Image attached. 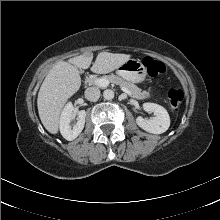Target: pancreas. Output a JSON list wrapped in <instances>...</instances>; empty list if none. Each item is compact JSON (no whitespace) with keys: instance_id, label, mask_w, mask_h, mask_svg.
<instances>
[{"instance_id":"obj_1","label":"pancreas","mask_w":220,"mask_h":220,"mask_svg":"<svg viewBox=\"0 0 220 220\" xmlns=\"http://www.w3.org/2000/svg\"><path fill=\"white\" fill-rule=\"evenodd\" d=\"M102 78H106L107 80H109V82L120 85L122 87L127 88L130 91V96L136 99H146L150 97V93L147 91H142L139 87H137L135 84L129 82V81H125L122 78H120L119 76H116L114 74L111 75H106L103 76ZM98 78H90L89 79V83L90 84H95V80H97Z\"/></svg>"}]
</instances>
